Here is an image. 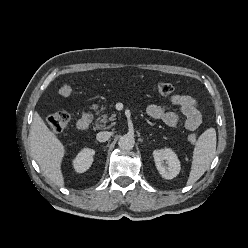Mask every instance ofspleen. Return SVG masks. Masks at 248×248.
I'll list each match as a JSON object with an SVG mask.
<instances>
[{
	"label": "spleen",
	"instance_id": "1",
	"mask_svg": "<svg viewBox=\"0 0 248 248\" xmlns=\"http://www.w3.org/2000/svg\"><path fill=\"white\" fill-rule=\"evenodd\" d=\"M216 153V131L207 129L198 138L193 151V161L187 185L194 184L208 169Z\"/></svg>",
	"mask_w": 248,
	"mask_h": 248
}]
</instances>
